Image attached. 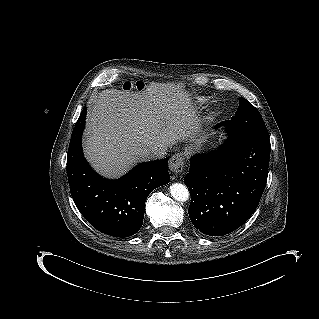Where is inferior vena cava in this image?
<instances>
[{"label": "inferior vena cava", "mask_w": 319, "mask_h": 319, "mask_svg": "<svg viewBox=\"0 0 319 319\" xmlns=\"http://www.w3.org/2000/svg\"><path fill=\"white\" fill-rule=\"evenodd\" d=\"M143 154L147 160L162 159L166 155V149L164 148H148L143 150Z\"/></svg>", "instance_id": "inferior-vena-cava-1"}]
</instances>
